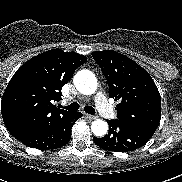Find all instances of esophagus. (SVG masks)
Masks as SVG:
<instances>
[{
	"mask_svg": "<svg viewBox=\"0 0 182 182\" xmlns=\"http://www.w3.org/2000/svg\"><path fill=\"white\" fill-rule=\"evenodd\" d=\"M85 117H86L88 120H90V121L95 120V119L98 118V117L95 116V115H89V114H86Z\"/></svg>",
	"mask_w": 182,
	"mask_h": 182,
	"instance_id": "obj_1",
	"label": "esophagus"
}]
</instances>
